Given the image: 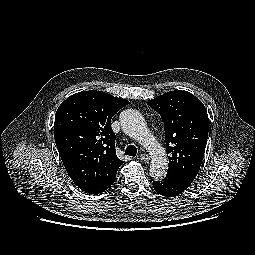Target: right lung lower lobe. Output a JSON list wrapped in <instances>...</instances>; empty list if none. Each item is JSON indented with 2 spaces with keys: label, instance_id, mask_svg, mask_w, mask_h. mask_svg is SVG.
I'll return each instance as SVG.
<instances>
[{
  "label": "right lung lower lobe",
  "instance_id": "98d812e1",
  "mask_svg": "<svg viewBox=\"0 0 255 255\" xmlns=\"http://www.w3.org/2000/svg\"><path fill=\"white\" fill-rule=\"evenodd\" d=\"M115 178L112 179L111 181H108L107 183H105L103 185L92 186V187H88V188H82L81 190L85 191L86 193H89V194H98V193H101V192L105 191L107 188H109L112 185V183H114Z\"/></svg>",
  "mask_w": 255,
  "mask_h": 255
}]
</instances>
